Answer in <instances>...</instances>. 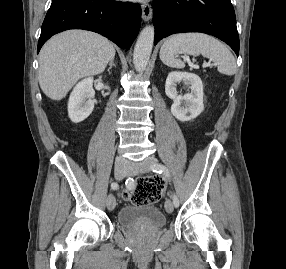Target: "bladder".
<instances>
[{
    "label": "bladder",
    "instance_id": "obj_1",
    "mask_svg": "<svg viewBox=\"0 0 286 269\" xmlns=\"http://www.w3.org/2000/svg\"><path fill=\"white\" fill-rule=\"evenodd\" d=\"M117 222L128 230H159L165 227L167 219L157 207L131 203L120 208Z\"/></svg>",
    "mask_w": 286,
    "mask_h": 269
}]
</instances>
